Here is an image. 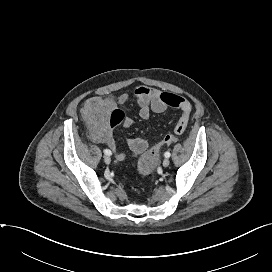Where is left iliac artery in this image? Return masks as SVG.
<instances>
[{"instance_id":"1","label":"left iliac artery","mask_w":272,"mask_h":272,"mask_svg":"<svg viewBox=\"0 0 272 272\" xmlns=\"http://www.w3.org/2000/svg\"><path fill=\"white\" fill-rule=\"evenodd\" d=\"M170 152L169 151H167V152H165V154H164V156L166 157V158H169L170 157Z\"/></svg>"}]
</instances>
